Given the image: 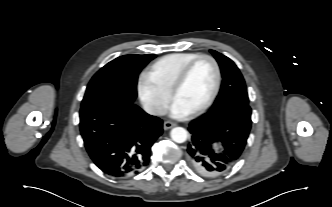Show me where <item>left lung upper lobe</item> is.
I'll return each instance as SVG.
<instances>
[{
    "label": "left lung upper lobe",
    "instance_id": "left-lung-upper-lobe-1",
    "mask_svg": "<svg viewBox=\"0 0 332 207\" xmlns=\"http://www.w3.org/2000/svg\"><path fill=\"white\" fill-rule=\"evenodd\" d=\"M210 52L219 63L223 77L219 95L210 110L232 103L248 104L249 99L245 81L238 67L223 54L214 50H210Z\"/></svg>",
    "mask_w": 332,
    "mask_h": 207
}]
</instances>
